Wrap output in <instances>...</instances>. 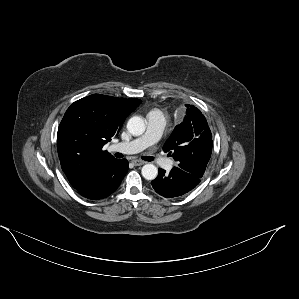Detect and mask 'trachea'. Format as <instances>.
I'll list each match as a JSON object with an SVG mask.
<instances>
[{
    "label": "trachea",
    "mask_w": 299,
    "mask_h": 299,
    "mask_svg": "<svg viewBox=\"0 0 299 299\" xmlns=\"http://www.w3.org/2000/svg\"><path fill=\"white\" fill-rule=\"evenodd\" d=\"M116 157H117V158H122V154H121V153H117V154H116ZM143 159H144V160H147V161H152V160H153V157L148 156V157H144Z\"/></svg>",
    "instance_id": "1"
}]
</instances>
